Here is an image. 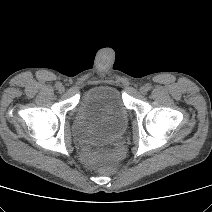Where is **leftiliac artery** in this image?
<instances>
[{
	"mask_svg": "<svg viewBox=\"0 0 212 212\" xmlns=\"http://www.w3.org/2000/svg\"><path fill=\"white\" fill-rule=\"evenodd\" d=\"M146 87H147L148 90L151 89V85L150 84H147Z\"/></svg>",
	"mask_w": 212,
	"mask_h": 212,
	"instance_id": "obj_1",
	"label": "left iliac artery"
}]
</instances>
